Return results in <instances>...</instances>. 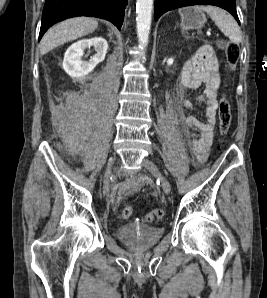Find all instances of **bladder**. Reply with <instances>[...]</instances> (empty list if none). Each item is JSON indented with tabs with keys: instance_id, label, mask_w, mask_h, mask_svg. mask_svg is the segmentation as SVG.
I'll return each instance as SVG.
<instances>
[{
	"instance_id": "31cf9c89",
	"label": "bladder",
	"mask_w": 267,
	"mask_h": 298,
	"mask_svg": "<svg viewBox=\"0 0 267 298\" xmlns=\"http://www.w3.org/2000/svg\"><path fill=\"white\" fill-rule=\"evenodd\" d=\"M164 229L158 226H139L128 224L117 229V237L136 250L153 247L163 236Z\"/></svg>"
}]
</instances>
